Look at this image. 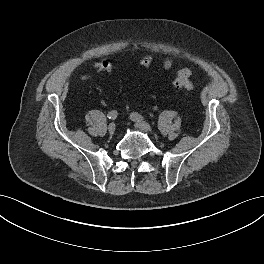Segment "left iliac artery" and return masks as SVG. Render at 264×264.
Returning a JSON list of instances; mask_svg holds the SVG:
<instances>
[{
	"instance_id": "44dca946",
	"label": "left iliac artery",
	"mask_w": 264,
	"mask_h": 264,
	"mask_svg": "<svg viewBox=\"0 0 264 264\" xmlns=\"http://www.w3.org/2000/svg\"><path fill=\"white\" fill-rule=\"evenodd\" d=\"M130 116L133 120H144V117L136 112L131 113Z\"/></svg>"
}]
</instances>
